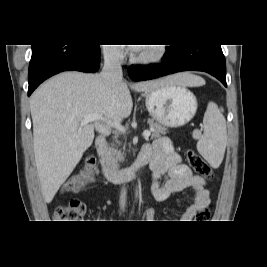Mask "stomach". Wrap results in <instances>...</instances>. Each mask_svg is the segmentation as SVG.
<instances>
[{"label":"stomach","instance_id":"obj_1","mask_svg":"<svg viewBox=\"0 0 267 267\" xmlns=\"http://www.w3.org/2000/svg\"><path fill=\"white\" fill-rule=\"evenodd\" d=\"M146 107L151 117L168 127L188 123L197 111V99L185 86L161 85L146 92Z\"/></svg>","mask_w":267,"mask_h":267}]
</instances>
